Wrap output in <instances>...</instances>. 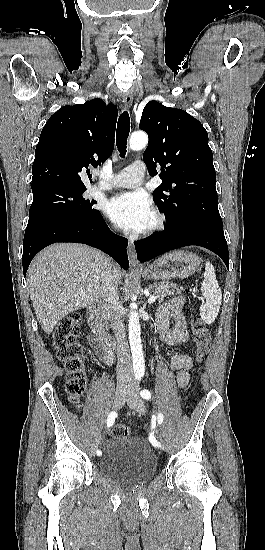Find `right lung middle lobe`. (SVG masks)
<instances>
[{"label": "right lung middle lobe", "instance_id": "dd1d6c3e", "mask_svg": "<svg viewBox=\"0 0 265 550\" xmlns=\"http://www.w3.org/2000/svg\"><path fill=\"white\" fill-rule=\"evenodd\" d=\"M86 189L64 186H43L32 189L33 203L28 225L59 218H90L100 212L92 206L97 202L84 198Z\"/></svg>", "mask_w": 265, "mask_h": 550}]
</instances>
